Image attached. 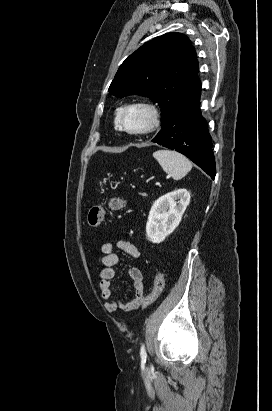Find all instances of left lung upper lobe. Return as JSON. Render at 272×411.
I'll return each instance as SVG.
<instances>
[{
    "mask_svg": "<svg viewBox=\"0 0 272 411\" xmlns=\"http://www.w3.org/2000/svg\"><path fill=\"white\" fill-rule=\"evenodd\" d=\"M201 89L198 62L191 41L167 33L146 42L119 67L109 92L118 98L130 93L149 97L162 112V127Z\"/></svg>",
    "mask_w": 272,
    "mask_h": 411,
    "instance_id": "left-lung-upper-lobe-1",
    "label": "left lung upper lobe"
}]
</instances>
